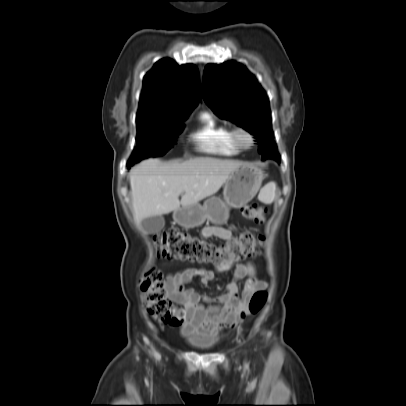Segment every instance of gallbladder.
I'll use <instances>...</instances> for the list:
<instances>
[{"label":"gallbladder","instance_id":"obj_1","mask_svg":"<svg viewBox=\"0 0 406 406\" xmlns=\"http://www.w3.org/2000/svg\"><path fill=\"white\" fill-rule=\"evenodd\" d=\"M164 226L165 220L162 215L151 216L141 221L142 229L149 234L158 233Z\"/></svg>","mask_w":406,"mask_h":406}]
</instances>
